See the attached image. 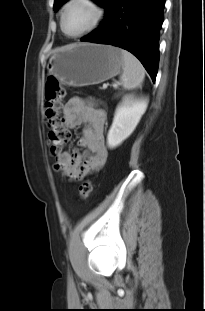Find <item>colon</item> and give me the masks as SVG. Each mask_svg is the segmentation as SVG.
I'll return each instance as SVG.
<instances>
[{"mask_svg":"<svg viewBox=\"0 0 205 311\" xmlns=\"http://www.w3.org/2000/svg\"><path fill=\"white\" fill-rule=\"evenodd\" d=\"M64 87L54 77H49L45 84V122L48 128V140L50 151L54 155L62 153L70 139L69 132L64 127V119L61 116ZM92 191L89 180L83 181L79 186V197L86 199Z\"/></svg>","mask_w":205,"mask_h":311,"instance_id":"obj_1","label":"colon"}]
</instances>
